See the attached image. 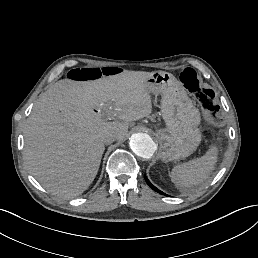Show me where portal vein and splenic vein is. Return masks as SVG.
I'll return each instance as SVG.
<instances>
[{"instance_id":"1","label":"portal vein and splenic vein","mask_w":258,"mask_h":258,"mask_svg":"<svg viewBox=\"0 0 258 258\" xmlns=\"http://www.w3.org/2000/svg\"><path fill=\"white\" fill-rule=\"evenodd\" d=\"M104 107H105L104 111H105L106 118H111L109 113H113V117L117 116V113L115 111H112L111 107H106L105 105Z\"/></svg>"}]
</instances>
